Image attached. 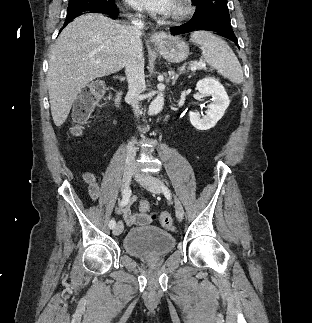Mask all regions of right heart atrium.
Segmentation results:
<instances>
[{
    "instance_id": "right-heart-atrium-1",
    "label": "right heart atrium",
    "mask_w": 312,
    "mask_h": 323,
    "mask_svg": "<svg viewBox=\"0 0 312 323\" xmlns=\"http://www.w3.org/2000/svg\"><path fill=\"white\" fill-rule=\"evenodd\" d=\"M138 15H139L140 17H144V16L146 15V12H145L144 10H140V11L138 12Z\"/></svg>"
}]
</instances>
